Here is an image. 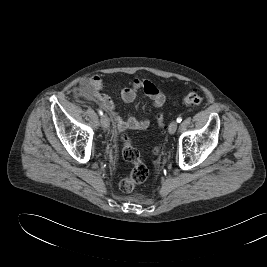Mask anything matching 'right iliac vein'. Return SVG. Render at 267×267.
I'll return each instance as SVG.
<instances>
[{
	"instance_id": "1",
	"label": "right iliac vein",
	"mask_w": 267,
	"mask_h": 267,
	"mask_svg": "<svg viewBox=\"0 0 267 267\" xmlns=\"http://www.w3.org/2000/svg\"><path fill=\"white\" fill-rule=\"evenodd\" d=\"M100 122H101V126L104 128V129H107L110 125V121H109V118L107 115H102L101 119H100Z\"/></svg>"
}]
</instances>
